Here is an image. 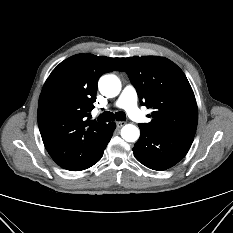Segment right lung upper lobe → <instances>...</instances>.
Returning <instances> with one entry per match:
<instances>
[{
  "label": "right lung upper lobe",
  "instance_id": "obj_1",
  "mask_svg": "<svg viewBox=\"0 0 233 233\" xmlns=\"http://www.w3.org/2000/svg\"><path fill=\"white\" fill-rule=\"evenodd\" d=\"M114 70H124L119 58L77 54L61 62L46 80L38 126L48 153L62 168L83 170L96 156L107 124L86 116L96 101L98 79Z\"/></svg>",
  "mask_w": 233,
  "mask_h": 233
}]
</instances>
